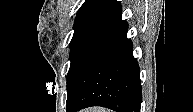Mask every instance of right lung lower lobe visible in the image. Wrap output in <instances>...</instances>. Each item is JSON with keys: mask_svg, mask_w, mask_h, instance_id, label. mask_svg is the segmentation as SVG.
<instances>
[{"mask_svg": "<svg viewBox=\"0 0 193 112\" xmlns=\"http://www.w3.org/2000/svg\"><path fill=\"white\" fill-rule=\"evenodd\" d=\"M128 27L116 33L86 64L67 97V112L102 106L140 112L142 87Z\"/></svg>", "mask_w": 193, "mask_h": 112, "instance_id": "98d812e1", "label": "right lung lower lobe"}]
</instances>
